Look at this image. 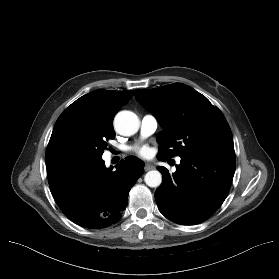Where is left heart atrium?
Returning a JSON list of instances; mask_svg holds the SVG:
<instances>
[{"instance_id":"left-heart-atrium-1","label":"left heart atrium","mask_w":279,"mask_h":279,"mask_svg":"<svg viewBox=\"0 0 279 279\" xmlns=\"http://www.w3.org/2000/svg\"><path fill=\"white\" fill-rule=\"evenodd\" d=\"M135 152L143 158H148L151 154V151L147 146L137 147L135 148Z\"/></svg>"}]
</instances>
